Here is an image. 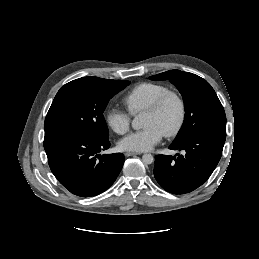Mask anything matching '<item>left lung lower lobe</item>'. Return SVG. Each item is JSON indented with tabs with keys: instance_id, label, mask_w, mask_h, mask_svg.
Here are the masks:
<instances>
[{
	"instance_id": "0a47b994",
	"label": "left lung lower lobe",
	"mask_w": 259,
	"mask_h": 259,
	"mask_svg": "<svg viewBox=\"0 0 259 259\" xmlns=\"http://www.w3.org/2000/svg\"><path fill=\"white\" fill-rule=\"evenodd\" d=\"M226 139V132L206 130L185 141L169 146L185 155L155 156L154 176L166 191L173 194L191 192L201 186L216 168Z\"/></svg>"
}]
</instances>
